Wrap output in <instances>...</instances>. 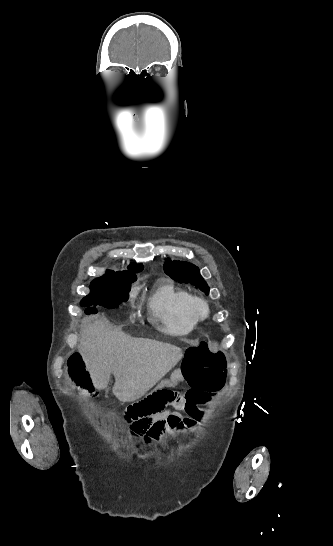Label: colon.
I'll use <instances>...</instances> for the list:
<instances>
[{"mask_svg":"<svg viewBox=\"0 0 333 546\" xmlns=\"http://www.w3.org/2000/svg\"><path fill=\"white\" fill-rule=\"evenodd\" d=\"M225 368L226 358L213 344L203 341L190 347L182 366L185 379L192 387L186 396L187 402L196 400L200 393L219 391L225 384ZM67 371L81 390L98 389L93 380L85 379L90 375L85 373V360L81 354L76 353L69 357ZM179 402L175 393L162 390L160 393L153 392L137 402L129 401L124 411L128 418H134L136 422H145L147 418H154L158 412L163 411L168 404Z\"/></svg>","mask_w":333,"mask_h":546,"instance_id":"5ec220e1","label":"colon"}]
</instances>
